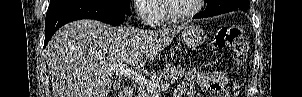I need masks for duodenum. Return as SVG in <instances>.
<instances>
[{"label": "duodenum", "instance_id": "obj_1", "mask_svg": "<svg viewBox=\"0 0 302 97\" xmlns=\"http://www.w3.org/2000/svg\"><path fill=\"white\" fill-rule=\"evenodd\" d=\"M118 97H133L132 87L124 88L123 91L118 95Z\"/></svg>", "mask_w": 302, "mask_h": 97}]
</instances>
